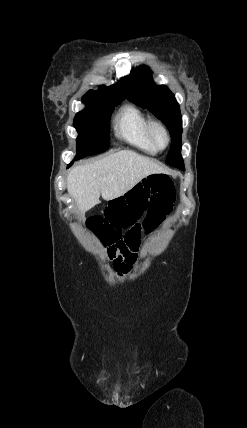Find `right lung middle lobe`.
<instances>
[{"label":"right lung middle lobe","mask_w":247,"mask_h":428,"mask_svg":"<svg viewBox=\"0 0 247 428\" xmlns=\"http://www.w3.org/2000/svg\"><path fill=\"white\" fill-rule=\"evenodd\" d=\"M87 107L78 112L73 125L78 132L77 155L74 160L98 154L109 147V119L118 104H104L83 98Z\"/></svg>","instance_id":"right-lung-middle-lobe-1"}]
</instances>
